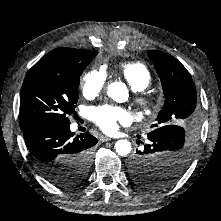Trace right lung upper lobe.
<instances>
[{
    "mask_svg": "<svg viewBox=\"0 0 221 221\" xmlns=\"http://www.w3.org/2000/svg\"><path fill=\"white\" fill-rule=\"evenodd\" d=\"M96 52L97 51H84L73 48H57L42 57L33 68L54 63L82 61Z\"/></svg>",
    "mask_w": 221,
    "mask_h": 221,
    "instance_id": "obj_1",
    "label": "right lung upper lobe"
}]
</instances>
